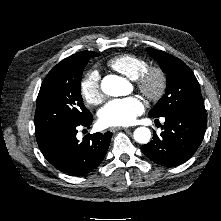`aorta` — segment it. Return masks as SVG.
<instances>
[{"instance_id": "obj_1", "label": "aorta", "mask_w": 221, "mask_h": 221, "mask_svg": "<svg viewBox=\"0 0 221 221\" xmlns=\"http://www.w3.org/2000/svg\"><path fill=\"white\" fill-rule=\"evenodd\" d=\"M102 91L109 96H122L128 92V81L117 75L105 76L101 82ZM136 142L146 144L150 141L151 132L146 127H139L134 131Z\"/></svg>"}]
</instances>
